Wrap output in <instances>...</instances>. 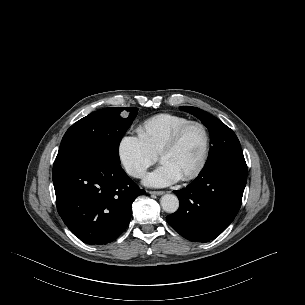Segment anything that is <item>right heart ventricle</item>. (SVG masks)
I'll return each mask as SVG.
<instances>
[{
  "mask_svg": "<svg viewBox=\"0 0 305 305\" xmlns=\"http://www.w3.org/2000/svg\"><path fill=\"white\" fill-rule=\"evenodd\" d=\"M191 121L189 118L174 114H159L145 120L137 129L139 137L148 149L158 155L161 147L173 133Z\"/></svg>",
  "mask_w": 305,
  "mask_h": 305,
  "instance_id": "obj_1",
  "label": "right heart ventricle"
}]
</instances>
